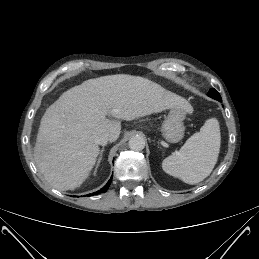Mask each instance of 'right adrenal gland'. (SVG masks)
Returning <instances> with one entry per match:
<instances>
[{"label": "right adrenal gland", "instance_id": "2a0ac1e0", "mask_svg": "<svg viewBox=\"0 0 259 259\" xmlns=\"http://www.w3.org/2000/svg\"><path fill=\"white\" fill-rule=\"evenodd\" d=\"M103 152H104V147H103V148L101 149V151H100V157H99V159H98L97 166H96V168H95V173H96V171H97V169H98V167H99V165H100V163H101L102 156H103Z\"/></svg>", "mask_w": 259, "mask_h": 259}]
</instances>
